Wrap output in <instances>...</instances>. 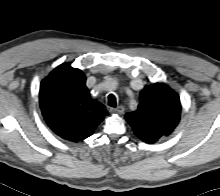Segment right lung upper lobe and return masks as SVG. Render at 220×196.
<instances>
[{"label": "right lung upper lobe", "instance_id": "obj_1", "mask_svg": "<svg viewBox=\"0 0 220 196\" xmlns=\"http://www.w3.org/2000/svg\"><path fill=\"white\" fill-rule=\"evenodd\" d=\"M86 77L69 63L55 68L41 83L39 102L48 126L60 137L78 142L91 136L108 115L90 97Z\"/></svg>", "mask_w": 220, "mask_h": 196}]
</instances>
